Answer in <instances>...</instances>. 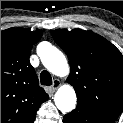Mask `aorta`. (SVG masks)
<instances>
[{
    "label": "aorta",
    "instance_id": "aorta-1",
    "mask_svg": "<svg viewBox=\"0 0 123 123\" xmlns=\"http://www.w3.org/2000/svg\"><path fill=\"white\" fill-rule=\"evenodd\" d=\"M39 55L45 68L52 74L59 77L69 75L70 68L66 57L58 48L48 42L42 43ZM54 101L61 112L68 113L72 111L77 102L73 87L70 85L61 86L55 94Z\"/></svg>",
    "mask_w": 123,
    "mask_h": 123
}]
</instances>
